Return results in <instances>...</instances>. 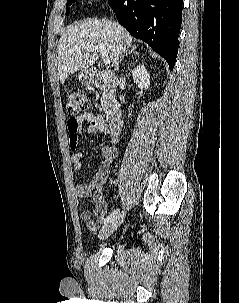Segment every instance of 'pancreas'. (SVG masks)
Listing matches in <instances>:
<instances>
[{
  "label": "pancreas",
  "instance_id": "pancreas-1",
  "mask_svg": "<svg viewBox=\"0 0 239 303\" xmlns=\"http://www.w3.org/2000/svg\"><path fill=\"white\" fill-rule=\"evenodd\" d=\"M101 105H102L103 110L107 109V105H106V101H105V92L103 93L102 98H101Z\"/></svg>",
  "mask_w": 239,
  "mask_h": 303
}]
</instances>
